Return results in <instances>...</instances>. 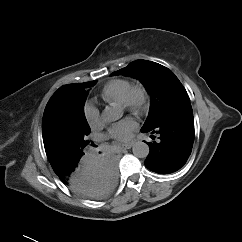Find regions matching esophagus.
<instances>
[{
	"mask_svg": "<svg viewBox=\"0 0 242 242\" xmlns=\"http://www.w3.org/2000/svg\"><path fill=\"white\" fill-rule=\"evenodd\" d=\"M133 146V143H126L121 146L122 151L130 149Z\"/></svg>",
	"mask_w": 242,
	"mask_h": 242,
	"instance_id": "obj_1",
	"label": "esophagus"
}]
</instances>
